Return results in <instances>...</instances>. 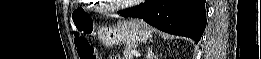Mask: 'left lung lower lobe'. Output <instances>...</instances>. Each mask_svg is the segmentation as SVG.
I'll use <instances>...</instances> for the list:
<instances>
[{"instance_id":"0a47b994","label":"left lung lower lobe","mask_w":261,"mask_h":59,"mask_svg":"<svg viewBox=\"0 0 261 59\" xmlns=\"http://www.w3.org/2000/svg\"><path fill=\"white\" fill-rule=\"evenodd\" d=\"M119 14L143 18L164 32L189 37L196 43L206 27L205 0H147Z\"/></svg>"}]
</instances>
